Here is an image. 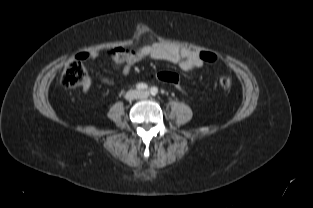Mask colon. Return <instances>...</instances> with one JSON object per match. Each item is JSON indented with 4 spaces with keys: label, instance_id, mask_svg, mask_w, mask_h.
<instances>
[{
    "label": "colon",
    "instance_id": "colon-1",
    "mask_svg": "<svg viewBox=\"0 0 313 208\" xmlns=\"http://www.w3.org/2000/svg\"><path fill=\"white\" fill-rule=\"evenodd\" d=\"M200 58L204 63L213 64L218 60L217 55L211 51H203L199 53ZM155 77L165 83H168L176 88L179 96H185L186 91L182 86L180 76L175 72L161 71L156 73ZM62 84L67 88H76L84 86L87 82V73L83 64L79 60L69 62L62 74ZM219 85L223 89H230L232 85L231 78L227 75L219 78Z\"/></svg>",
    "mask_w": 313,
    "mask_h": 208
}]
</instances>
